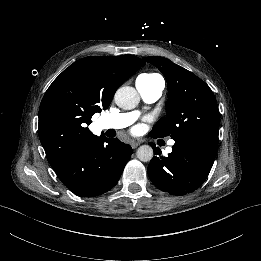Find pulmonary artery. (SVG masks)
<instances>
[{"label":"pulmonary artery","mask_w":261,"mask_h":261,"mask_svg":"<svg viewBox=\"0 0 261 261\" xmlns=\"http://www.w3.org/2000/svg\"><path fill=\"white\" fill-rule=\"evenodd\" d=\"M136 87L147 104L156 102L163 93L164 83L158 82L153 85H145L141 80H136ZM139 117L138 111L107 115L102 124L106 129H124L132 124ZM175 141L165 143V148L170 152L174 148Z\"/></svg>","instance_id":"pulmonary-artery-1"}]
</instances>
